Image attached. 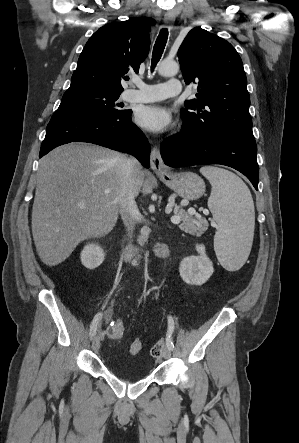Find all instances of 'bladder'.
<instances>
[{"label":"bladder","mask_w":299,"mask_h":443,"mask_svg":"<svg viewBox=\"0 0 299 443\" xmlns=\"http://www.w3.org/2000/svg\"><path fill=\"white\" fill-rule=\"evenodd\" d=\"M131 364L128 369H120L111 364L108 368L114 375L128 382L138 381L146 377L147 372L141 365H135L133 362Z\"/></svg>","instance_id":"obj_1"}]
</instances>
